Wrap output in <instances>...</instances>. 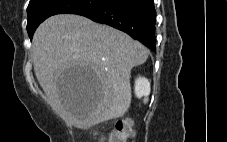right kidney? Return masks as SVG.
<instances>
[{"mask_svg": "<svg viewBox=\"0 0 227 142\" xmlns=\"http://www.w3.org/2000/svg\"><path fill=\"white\" fill-rule=\"evenodd\" d=\"M150 83L148 79L144 77H139L135 81V94L138 98L145 97L144 102L148 101V96L150 94Z\"/></svg>", "mask_w": 227, "mask_h": 142, "instance_id": "ca27d5eb", "label": "right kidney"}]
</instances>
